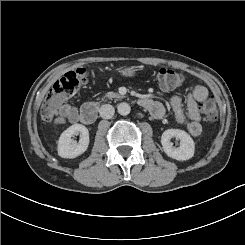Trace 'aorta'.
<instances>
[{"label": "aorta", "instance_id": "762f6f07", "mask_svg": "<svg viewBox=\"0 0 245 245\" xmlns=\"http://www.w3.org/2000/svg\"><path fill=\"white\" fill-rule=\"evenodd\" d=\"M117 111L120 115H128L131 111V107L128 103L126 102H122V103H119L118 106H117Z\"/></svg>", "mask_w": 245, "mask_h": 245}]
</instances>
